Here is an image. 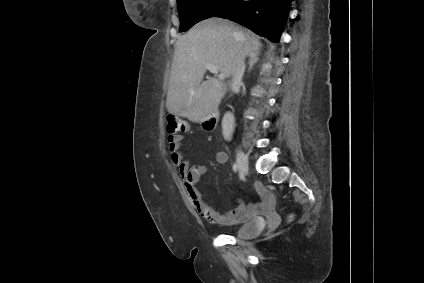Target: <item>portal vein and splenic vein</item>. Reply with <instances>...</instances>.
<instances>
[{"label":"portal vein and splenic vein","mask_w":424,"mask_h":283,"mask_svg":"<svg viewBox=\"0 0 424 283\" xmlns=\"http://www.w3.org/2000/svg\"><path fill=\"white\" fill-rule=\"evenodd\" d=\"M205 69H207V70H209L211 73H213V74H215V75H218V78L219 79H224V74H218L219 73V69H218V67L217 66H214L213 64H211V63H207L206 65H205Z\"/></svg>","instance_id":"1"}]
</instances>
